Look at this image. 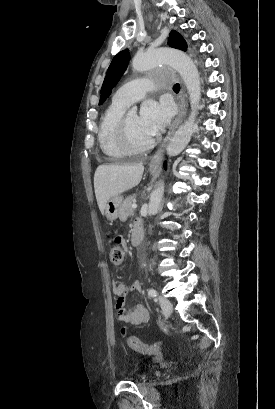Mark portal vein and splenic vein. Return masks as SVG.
Listing matches in <instances>:
<instances>
[{
  "label": "portal vein and splenic vein",
  "mask_w": 275,
  "mask_h": 409,
  "mask_svg": "<svg viewBox=\"0 0 275 409\" xmlns=\"http://www.w3.org/2000/svg\"><path fill=\"white\" fill-rule=\"evenodd\" d=\"M132 209H137V205H132Z\"/></svg>",
  "instance_id": "portal-vein-and-splenic-vein-1"
}]
</instances>
